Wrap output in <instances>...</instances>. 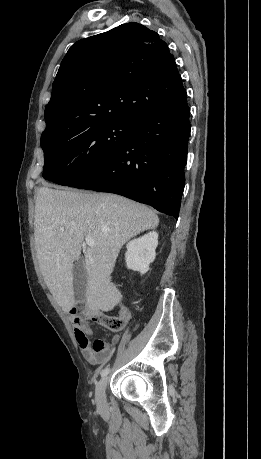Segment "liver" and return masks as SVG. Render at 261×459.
I'll list each match as a JSON object with an SVG mask.
<instances>
[{"instance_id": "liver-1", "label": "liver", "mask_w": 261, "mask_h": 459, "mask_svg": "<svg viewBox=\"0 0 261 459\" xmlns=\"http://www.w3.org/2000/svg\"><path fill=\"white\" fill-rule=\"evenodd\" d=\"M159 224L145 205L110 193L40 187L36 196L34 238L48 289L64 311L75 305L73 266L81 250L88 274L85 316L108 311L119 300L111 273L122 246ZM89 234L94 244H84Z\"/></svg>"}]
</instances>
